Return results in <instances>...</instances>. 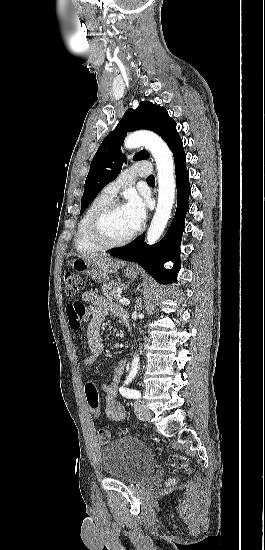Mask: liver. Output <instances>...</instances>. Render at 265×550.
Wrapping results in <instances>:
<instances>
[{
  "instance_id": "6515ba94",
  "label": "liver",
  "mask_w": 265,
  "mask_h": 550,
  "mask_svg": "<svg viewBox=\"0 0 265 550\" xmlns=\"http://www.w3.org/2000/svg\"><path fill=\"white\" fill-rule=\"evenodd\" d=\"M81 258L92 262L94 265L99 267L104 273H115L119 268L125 266V263L112 259L105 254H90L84 255Z\"/></svg>"
}]
</instances>
